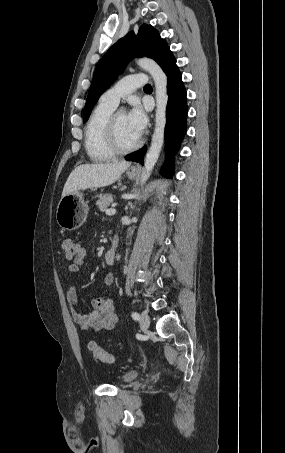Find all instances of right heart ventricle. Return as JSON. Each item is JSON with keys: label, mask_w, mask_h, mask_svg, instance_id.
I'll return each instance as SVG.
<instances>
[{"label": "right heart ventricle", "mask_w": 285, "mask_h": 453, "mask_svg": "<svg viewBox=\"0 0 285 453\" xmlns=\"http://www.w3.org/2000/svg\"><path fill=\"white\" fill-rule=\"evenodd\" d=\"M115 108L100 100L86 124L84 146L88 157L94 162H106L114 157L113 152L106 143L105 129L107 121Z\"/></svg>", "instance_id": "1"}]
</instances>
